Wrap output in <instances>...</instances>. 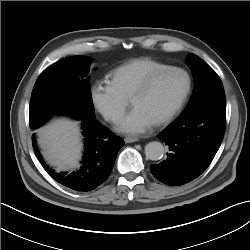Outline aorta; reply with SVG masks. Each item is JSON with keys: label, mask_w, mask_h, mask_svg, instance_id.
<instances>
[{"label": "aorta", "mask_w": 250, "mask_h": 250, "mask_svg": "<svg viewBox=\"0 0 250 250\" xmlns=\"http://www.w3.org/2000/svg\"><path fill=\"white\" fill-rule=\"evenodd\" d=\"M164 152V146L160 142H149L145 146L146 157L153 161L160 160L163 157Z\"/></svg>", "instance_id": "obj_1"}]
</instances>
